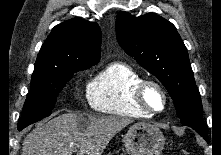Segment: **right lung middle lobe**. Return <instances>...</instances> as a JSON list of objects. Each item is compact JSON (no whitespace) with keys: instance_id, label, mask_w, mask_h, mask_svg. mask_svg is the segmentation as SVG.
Returning <instances> with one entry per match:
<instances>
[{"instance_id":"dd1d6c3e","label":"right lung middle lobe","mask_w":221,"mask_h":155,"mask_svg":"<svg viewBox=\"0 0 221 155\" xmlns=\"http://www.w3.org/2000/svg\"><path fill=\"white\" fill-rule=\"evenodd\" d=\"M91 66H35L31 78V88L18 123V130L49 116L56 103V98L66 82L71 79L75 72Z\"/></svg>"}]
</instances>
